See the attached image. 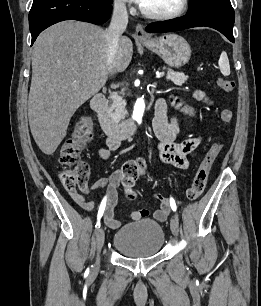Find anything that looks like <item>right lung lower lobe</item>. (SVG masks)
I'll list each match as a JSON object with an SVG mask.
<instances>
[{
  "label": "right lung lower lobe",
  "mask_w": 261,
  "mask_h": 306,
  "mask_svg": "<svg viewBox=\"0 0 261 306\" xmlns=\"http://www.w3.org/2000/svg\"><path fill=\"white\" fill-rule=\"evenodd\" d=\"M111 9L110 3L100 0H33L29 13L32 44L44 29L60 21L102 24L108 20Z\"/></svg>",
  "instance_id": "1"
}]
</instances>
